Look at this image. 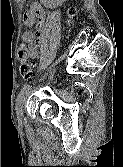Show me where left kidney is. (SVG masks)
<instances>
[{
	"label": "left kidney",
	"instance_id": "left-kidney-1",
	"mask_svg": "<svg viewBox=\"0 0 123 167\" xmlns=\"http://www.w3.org/2000/svg\"><path fill=\"white\" fill-rule=\"evenodd\" d=\"M59 1V3L61 4L63 1H65V0H58Z\"/></svg>",
	"mask_w": 123,
	"mask_h": 167
}]
</instances>
